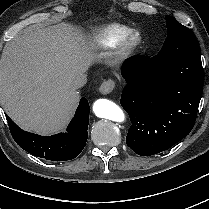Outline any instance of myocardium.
Segmentation results:
<instances>
[{
    "label": "myocardium",
    "instance_id": "myocardium-1",
    "mask_svg": "<svg viewBox=\"0 0 209 209\" xmlns=\"http://www.w3.org/2000/svg\"><path fill=\"white\" fill-rule=\"evenodd\" d=\"M141 41V35L136 30H130L119 36L111 45L113 61L118 63L124 60L140 45Z\"/></svg>",
    "mask_w": 209,
    "mask_h": 209
}]
</instances>
